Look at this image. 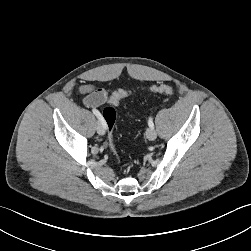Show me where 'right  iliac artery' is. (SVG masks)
<instances>
[{
    "label": "right iliac artery",
    "mask_w": 251,
    "mask_h": 251,
    "mask_svg": "<svg viewBox=\"0 0 251 251\" xmlns=\"http://www.w3.org/2000/svg\"><path fill=\"white\" fill-rule=\"evenodd\" d=\"M92 112L98 118L99 122H101L103 124V126L105 127V121H104L103 117L101 116L100 112L96 109H92Z\"/></svg>",
    "instance_id": "1"
}]
</instances>
